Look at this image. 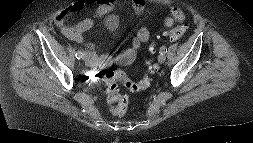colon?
Here are the masks:
<instances>
[{
	"label": "colon",
	"instance_id": "obj_1",
	"mask_svg": "<svg viewBox=\"0 0 253 143\" xmlns=\"http://www.w3.org/2000/svg\"><path fill=\"white\" fill-rule=\"evenodd\" d=\"M187 28L176 27L165 33L163 36L168 37L171 40H179L186 33ZM155 43H151L149 46L150 53L155 52ZM134 56L119 59L121 64H128L133 60ZM102 62H107V59H103ZM157 71L155 63L150 62L144 76L137 82L128 79L126 74L122 70L107 69L101 73V79L107 86V100L110 105L111 112L116 116H123L128 109V98L122 89V86L132 92H140L147 89L152 82L153 75Z\"/></svg>",
	"mask_w": 253,
	"mask_h": 143
}]
</instances>
